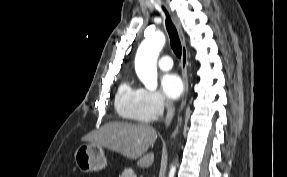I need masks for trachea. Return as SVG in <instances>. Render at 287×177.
I'll return each instance as SVG.
<instances>
[{
  "instance_id": "obj_1",
  "label": "trachea",
  "mask_w": 287,
  "mask_h": 177,
  "mask_svg": "<svg viewBox=\"0 0 287 177\" xmlns=\"http://www.w3.org/2000/svg\"><path fill=\"white\" fill-rule=\"evenodd\" d=\"M163 11L166 14V29L169 34L171 48L174 51L175 55L180 58L182 55V46L180 42V38L177 32L176 27L174 26L173 22L171 21L170 17L168 16L164 7H162Z\"/></svg>"
}]
</instances>
